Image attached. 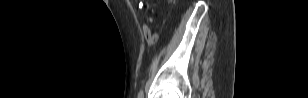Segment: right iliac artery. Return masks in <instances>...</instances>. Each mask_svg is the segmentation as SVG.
Listing matches in <instances>:
<instances>
[{"mask_svg": "<svg viewBox=\"0 0 308 98\" xmlns=\"http://www.w3.org/2000/svg\"><path fill=\"white\" fill-rule=\"evenodd\" d=\"M143 96H144L143 91H140L139 94H138V98H143Z\"/></svg>", "mask_w": 308, "mask_h": 98, "instance_id": "obj_1", "label": "right iliac artery"}]
</instances>
